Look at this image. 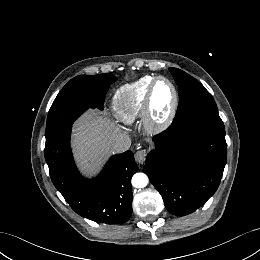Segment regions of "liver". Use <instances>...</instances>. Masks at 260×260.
Wrapping results in <instances>:
<instances>
[{"instance_id": "liver-1", "label": "liver", "mask_w": 260, "mask_h": 260, "mask_svg": "<svg viewBox=\"0 0 260 260\" xmlns=\"http://www.w3.org/2000/svg\"><path fill=\"white\" fill-rule=\"evenodd\" d=\"M120 129L110 120L90 110L73 126L72 146L75 159L83 173L93 175L113 153L111 144Z\"/></svg>"}]
</instances>
